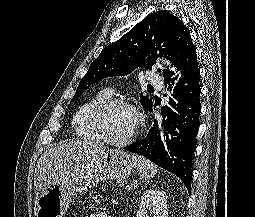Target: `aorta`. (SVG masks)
Listing matches in <instances>:
<instances>
[{"label": "aorta", "mask_w": 255, "mask_h": 217, "mask_svg": "<svg viewBox=\"0 0 255 217\" xmlns=\"http://www.w3.org/2000/svg\"><path fill=\"white\" fill-rule=\"evenodd\" d=\"M158 62L161 64V65H165V66H169L170 67V62L168 60H165V59H159ZM172 70H174V68H171Z\"/></svg>", "instance_id": "1"}]
</instances>
